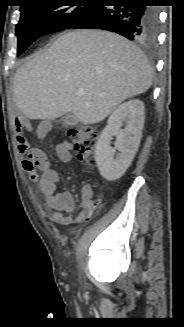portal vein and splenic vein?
I'll return each instance as SVG.
<instances>
[{
    "label": "portal vein and splenic vein",
    "instance_id": "18ae733b",
    "mask_svg": "<svg viewBox=\"0 0 184 327\" xmlns=\"http://www.w3.org/2000/svg\"><path fill=\"white\" fill-rule=\"evenodd\" d=\"M76 94L78 95V96H83L84 94H85V90L84 89H78L77 90V92H76Z\"/></svg>",
    "mask_w": 184,
    "mask_h": 327
}]
</instances>
